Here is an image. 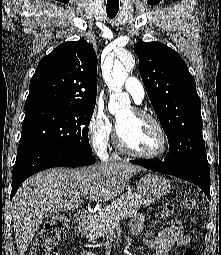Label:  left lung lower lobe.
<instances>
[{"label":"left lung lower lobe","instance_id":"left-lung-lower-lobe-1","mask_svg":"<svg viewBox=\"0 0 221 255\" xmlns=\"http://www.w3.org/2000/svg\"><path fill=\"white\" fill-rule=\"evenodd\" d=\"M130 162L192 182L200 187L210 199V171L206 156L188 160L178 165L170 164L165 160H131Z\"/></svg>","mask_w":221,"mask_h":255}]
</instances>
